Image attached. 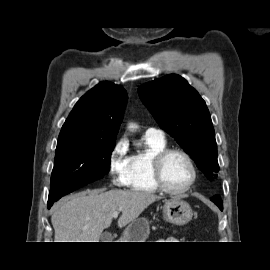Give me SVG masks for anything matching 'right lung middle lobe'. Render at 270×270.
Returning a JSON list of instances; mask_svg holds the SVG:
<instances>
[{
  "mask_svg": "<svg viewBox=\"0 0 270 270\" xmlns=\"http://www.w3.org/2000/svg\"><path fill=\"white\" fill-rule=\"evenodd\" d=\"M114 147L115 141L58 138L49 200L103 177L110 170Z\"/></svg>",
  "mask_w": 270,
  "mask_h": 270,
  "instance_id": "obj_1",
  "label": "right lung middle lobe"
}]
</instances>
